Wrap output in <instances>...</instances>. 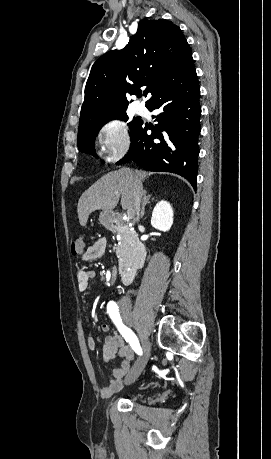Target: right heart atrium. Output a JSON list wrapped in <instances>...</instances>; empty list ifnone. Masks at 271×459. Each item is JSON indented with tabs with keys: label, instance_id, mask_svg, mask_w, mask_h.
I'll list each match as a JSON object with an SVG mask.
<instances>
[{
	"label": "right heart atrium",
	"instance_id": "d8ad5b80",
	"mask_svg": "<svg viewBox=\"0 0 271 459\" xmlns=\"http://www.w3.org/2000/svg\"><path fill=\"white\" fill-rule=\"evenodd\" d=\"M94 139L98 154L106 163H114L124 157L131 143L128 127L117 120L102 123Z\"/></svg>",
	"mask_w": 271,
	"mask_h": 459
}]
</instances>
